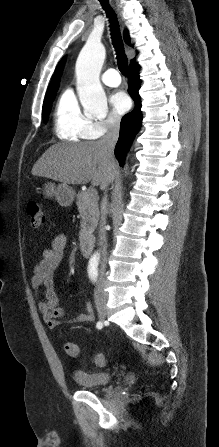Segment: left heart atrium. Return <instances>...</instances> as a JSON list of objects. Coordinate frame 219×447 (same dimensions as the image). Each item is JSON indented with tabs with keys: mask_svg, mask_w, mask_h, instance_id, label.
I'll return each instance as SVG.
<instances>
[{
	"mask_svg": "<svg viewBox=\"0 0 219 447\" xmlns=\"http://www.w3.org/2000/svg\"><path fill=\"white\" fill-rule=\"evenodd\" d=\"M110 102L114 110L119 114L126 113L131 107V100L129 96L123 91L115 92L111 96Z\"/></svg>",
	"mask_w": 219,
	"mask_h": 447,
	"instance_id": "1",
	"label": "left heart atrium"
}]
</instances>
